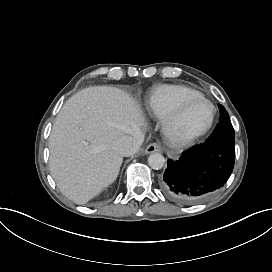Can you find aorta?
Wrapping results in <instances>:
<instances>
[{
    "instance_id": "1",
    "label": "aorta",
    "mask_w": 272,
    "mask_h": 272,
    "mask_svg": "<svg viewBox=\"0 0 272 272\" xmlns=\"http://www.w3.org/2000/svg\"><path fill=\"white\" fill-rule=\"evenodd\" d=\"M148 165L154 170H160L165 165V158L160 153L151 154L148 158Z\"/></svg>"
}]
</instances>
